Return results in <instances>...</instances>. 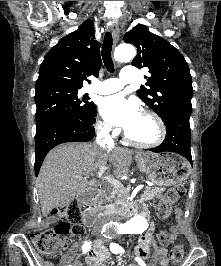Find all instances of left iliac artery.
Wrapping results in <instances>:
<instances>
[{
  "label": "left iliac artery",
  "instance_id": "44dca946",
  "mask_svg": "<svg viewBox=\"0 0 221 266\" xmlns=\"http://www.w3.org/2000/svg\"><path fill=\"white\" fill-rule=\"evenodd\" d=\"M110 250L114 254L124 253V249L119 244H116V243L110 244ZM136 261L138 262V264L140 266H146V264L144 263V261L141 258L137 257Z\"/></svg>",
  "mask_w": 221,
  "mask_h": 266
}]
</instances>
